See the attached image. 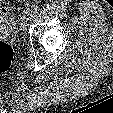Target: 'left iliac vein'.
<instances>
[{
	"label": "left iliac vein",
	"mask_w": 113,
	"mask_h": 113,
	"mask_svg": "<svg viewBox=\"0 0 113 113\" xmlns=\"http://www.w3.org/2000/svg\"><path fill=\"white\" fill-rule=\"evenodd\" d=\"M32 17V13L30 11H26L21 20V30L25 32L27 30L28 23Z\"/></svg>",
	"instance_id": "left-iliac-vein-1"
}]
</instances>
